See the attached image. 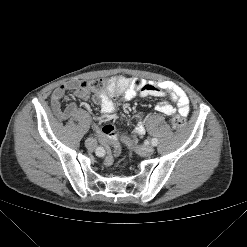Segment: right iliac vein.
Segmentation results:
<instances>
[{"label": "right iliac vein", "instance_id": "obj_1", "mask_svg": "<svg viewBox=\"0 0 247 247\" xmlns=\"http://www.w3.org/2000/svg\"><path fill=\"white\" fill-rule=\"evenodd\" d=\"M85 146L87 149H94L96 146V142L93 138H88L85 142Z\"/></svg>", "mask_w": 247, "mask_h": 247}]
</instances>
